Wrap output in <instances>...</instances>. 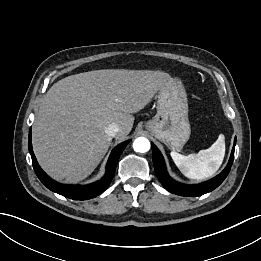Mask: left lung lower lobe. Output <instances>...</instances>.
<instances>
[{"label": "left lung lower lobe", "instance_id": "1", "mask_svg": "<svg viewBox=\"0 0 261 261\" xmlns=\"http://www.w3.org/2000/svg\"><path fill=\"white\" fill-rule=\"evenodd\" d=\"M235 144H236V137L234 139V146L226 168L213 179L197 185H185L173 180L167 173L164 159L160 151L152 144L151 146L153 151V163H154L155 173L158 179L160 180V182L162 183V185L164 186V188L169 192L181 196H188V197L201 196L217 188L229 174L234 160Z\"/></svg>", "mask_w": 261, "mask_h": 261}]
</instances>
